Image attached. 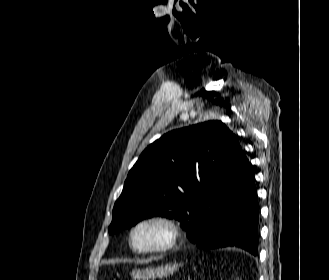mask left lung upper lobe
Masks as SVG:
<instances>
[{"instance_id": "5c2ea615", "label": "left lung upper lobe", "mask_w": 329, "mask_h": 280, "mask_svg": "<svg viewBox=\"0 0 329 280\" xmlns=\"http://www.w3.org/2000/svg\"><path fill=\"white\" fill-rule=\"evenodd\" d=\"M240 151L236 136L221 121L163 135L130 170L115 202L109 233L147 216L175 218L194 231L202 203L232 181V160Z\"/></svg>"}]
</instances>
